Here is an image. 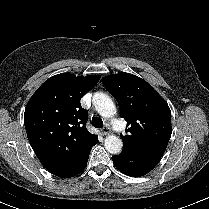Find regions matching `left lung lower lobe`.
I'll return each instance as SVG.
<instances>
[{
  "instance_id": "obj_1",
  "label": "left lung lower lobe",
  "mask_w": 209,
  "mask_h": 209,
  "mask_svg": "<svg viewBox=\"0 0 209 209\" xmlns=\"http://www.w3.org/2000/svg\"><path fill=\"white\" fill-rule=\"evenodd\" d=\"M112 160L122 173L140 177L150 172L158 164L160 158L123 150L119 156L112 157Z\"/></svg>"
}]
</instances>
